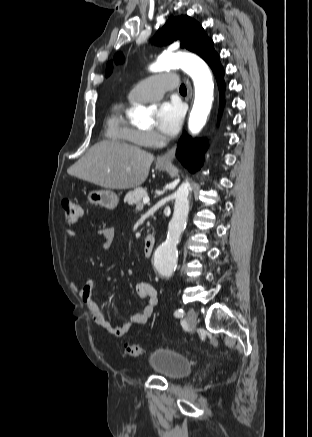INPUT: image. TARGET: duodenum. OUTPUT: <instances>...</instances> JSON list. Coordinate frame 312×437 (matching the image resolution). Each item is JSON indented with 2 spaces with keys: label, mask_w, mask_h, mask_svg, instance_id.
I'll return each instance as SVG.
<instances>
[{
  "label": "duodenum",
  "mask_w": 312,
  "mask_h": 437,
  "mask_svg": "<svg viewBox=\"0 0 312 437\" xmlns=\"http://www.w3.org/2000/svg\"><path fill=\"white\" fill-rule=\"evenodd\" d=\"M155 245V237L152 233H148L145 238L143 253L146 257L152 254Z\"/></svg>",
  "instance_id": "obj_1"
}]
</instances>
